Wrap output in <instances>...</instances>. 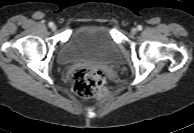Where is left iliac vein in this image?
I'll list each match as a JSON object with an SVG mask.
<instances>
[{"label": "left iliac vein", "instance_id": "4c4485c4", "mask_svg": "<svg viewBox=\"0 0 194 133\" xmlns=\"http://www.w3.org/2000/svg\"><path fill=\"white\" fill-rule=\"evenodd\" d=\"M136 32H137V29H136V28H132V29H131V33H132V34H135Z\"/></svg>", "mask_w": 194, "mask_h": 133}]
</instances>
